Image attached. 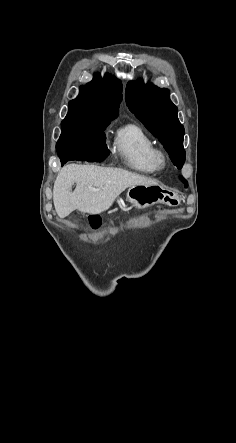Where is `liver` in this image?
<instances>
[{
  "mask_svg": "<svg viewBox=\"0 0 236 443\" xmlns=\"http://www.w3.org/2000/svg\"><path fill=\"white\" fill-rule=\"evenodd\" d=\"M76 188L72 192V186ZM157 185L145 176L118 168L71 164L58 173L53 188V202L60 218L74 210L90 215L108 210L128 187Z\"/></svg>",
  "mask_w": 236,
  "mask_h": 443,
  "instance_id": "liver-1",
  "label": "liver"
}]
</instances>
